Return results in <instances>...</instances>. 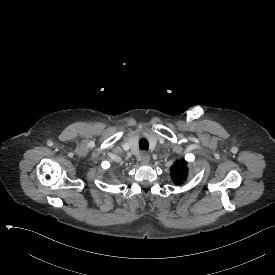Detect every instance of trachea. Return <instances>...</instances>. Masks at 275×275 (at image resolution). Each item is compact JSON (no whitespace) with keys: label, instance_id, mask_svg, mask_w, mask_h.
<instances>
[{"label":"trachea","instance_id":"3493384b","mask_svg":"<svg viewBox=\"0 0 275 275\" xmlns=\"http://www.w3.org/2000/svg\"><path fill=\"white\" fill-rule=\"evenodd\" d=\"M139 148L147 151L149 149V142L145 138L139 140Z\"/></svg>","mask_w":275,"mask_h":275}]
</instances>
